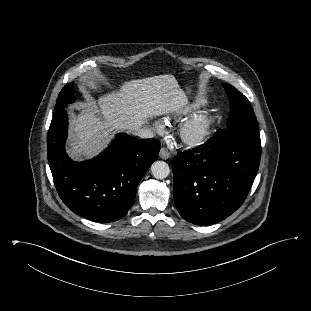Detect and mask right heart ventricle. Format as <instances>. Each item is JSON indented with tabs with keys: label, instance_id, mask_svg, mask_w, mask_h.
<instances>
[{
	"label": "right heart ventricle",
	"instance_id": "obj_1",
	"mask_svg": "<svg viewBox=\"0 0 311 311\" xmlns=\"http://www.w3.org/2000/svg\"><path fill=\"white\" fill-rule=\"evenodd\" d=\"M206 101L202 98H196L193 99L186 104H184L181 108L178 109L175 117L178 119H181L185 116H188L194 112H196L198 109L203 107L205 105Z\"/></svg>",
	"mask_w": 311,
	"mask_h": 311
}]
</instances>
